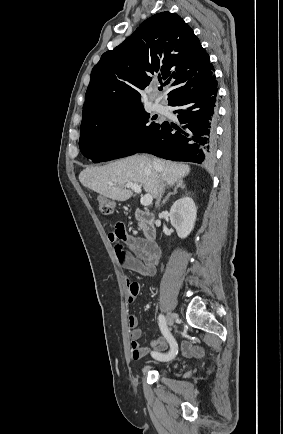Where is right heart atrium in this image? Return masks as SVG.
<instances>
[{
  "label": "right heart atrium",
  "instance_id": "obj_1",
  "mask_svg": "<svg viewBox=\"0 0 283 434\" xmlns=\"http://www.w3.org/2000/svg\"><path fill=\"white\" fill-rule=\"evenodd\" d=\"M134 130V128L131 126V127H128L127 129H126V131H125V133L126 134H130V133H132V131Z\"/></svg>",
  "mask_w": 283,
  "mask_h": 434
}]
</instances>
